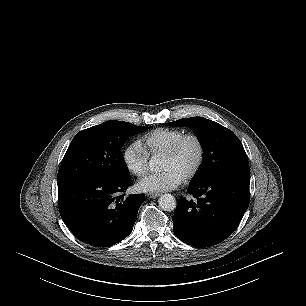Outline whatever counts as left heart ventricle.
Masks as SVG:
<instances>
[{
    "mask_svg": "<svg viewBox=\"0 0 306 306\" xmlns=\"http://www.w3.org/2000/svg\"><path fill=\"white\" fill-rule=\"evenodd\" d=\"M199 150L193 139L187 140L172 158L162 157L161 169H172L185 178L197 163Z\"/></svg>",
    "mask_w": 306,
    "mask_h": 306,
    "instance_id": "1",
    "label": "left heart ventricle"
}]
</instances>
